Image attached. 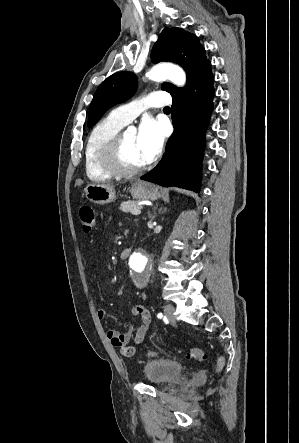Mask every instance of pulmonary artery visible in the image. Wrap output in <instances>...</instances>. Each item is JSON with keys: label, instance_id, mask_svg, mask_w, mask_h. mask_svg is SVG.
Segmentation results:
<instances>
[{"label": "pulmonary artery", "instance_id": "obj_1", "mask_svg": "<svg viewBox=\"0 0 299 443\" xmlns=\"http://www.w3.org/2000/svg\"><path fill=\"white\" fill-rule=\"evenodd\" d=\"M170 102L171 97L168 93L152 91L139 99L113 109L110 116L126 125L144 110L151 107H165Z\"/></svg>", "mask_w": 299, "mask_h": 443}]
</instances>
